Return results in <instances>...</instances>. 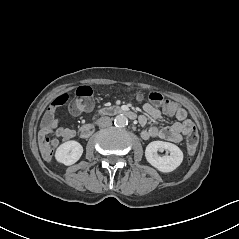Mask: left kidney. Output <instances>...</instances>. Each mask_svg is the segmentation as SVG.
<instances>
[{
  "mask_svg": "<svg viewBox=\"0 0 239 239\" xmlns=\"http://www.w3.org/2000/svg\"><path fill=\"white\" fill-rule=\"evenodd\" d=\"M163 150L169 151L170 155H158L157 152ZM145 157L147 161L159 171L171 172L182 163L183 152L173 143L153 141L147 145Z\"/></svg>",
  "mask_w": 239,
  "mask_h": 239,
  "instance_id": "left-kidney-1",
  "label": "left kidney"
}]
</instances>
